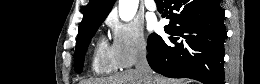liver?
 <instances>
[{"instance_id":"obj_1","label":"liver","mask_w":260,"mask_h":84,"mask_svg":"<svg viewBox=\"0 0 260 84\" xmlns=\"http://www.w3.org/2000/svg\"><path fill=\"white\" fill-rule=\"evenodd\" d=\"M152 84H189L187 79H168L152 72ZM83 84H147L143 74L136 69H129L123 73L102 78L84 81Z\"/></svg>"}]
</instances>
